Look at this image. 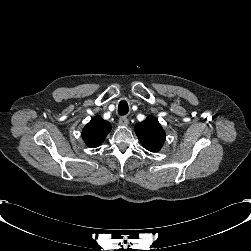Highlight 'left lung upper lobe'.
I'll return each instance as SVG.
<instances>
[{
    "instance_id": "1",
    "label": "left lung upper lobe",
    "mask_w": 251,
    "mask_h": 251,
    "mask_svg": "<svg viewBox=\"0 0 251 251\" xmlns=\"http://www.w3.org/2000/svg\"><path fill=\"white\" fill-rule=\"evenodd\" d=\"M135 132L142 145L151 152H158L165 141V132L153 116H148L143 122L137 123Z\"/></svg>"
}]
</instances>
